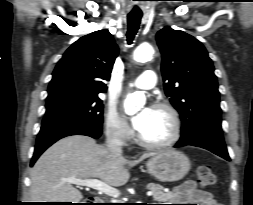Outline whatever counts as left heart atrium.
Returning a JSON list of instances; mask_svg holds the SVG:
<instances>
[{"label":"left heart atrium","instance_id":"1","mask_svg":"<svg viewBox=\"0 0 253 205\" xmlns=\"http://www.w3.org/2000/svg\"><path fill=\"white\" fill-rule=\"evenodd\" d=\"M152 112V108L146 107L142 109L139 113H137L133 118H132V124L133 127L139 132L144 125L146 124L150 114Z\"/></svg>","mask_w":253,"mask_h":205}]
</instances>
